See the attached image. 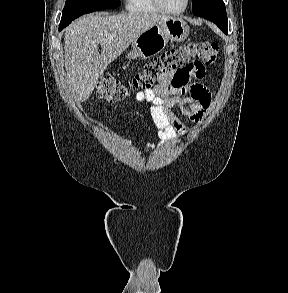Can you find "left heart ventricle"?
<instances>
[{
    "label": "left heart ventricle",
    "instance_id": "obj_1",
    "mask_svg": "<svg viewBox=\"0 0 288 293\" xmlns=\"http://www.w3.org/2000/svg\"><path fill=\"white\" fill-rule=\"evenodd\" d=\"M170 10H179L183 7L185 0H161Z\"/></svg>",
    "mask_w": 288,
    "mask_h": 293
}]
</instances>
